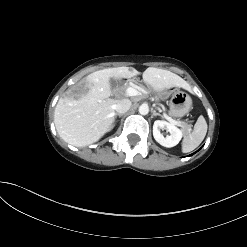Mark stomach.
<instances>
[{"label":"stomach","instance_id":"0dacf381","mask_svg":"<svg viewBox=\"0 0 247 247\" xmlns=\"http://www.w3.org/2000/svg\"><path fill=\"white\" fill-rule=\"evenodd\" d=\"M171 93L172 95L169 101L170 115L183 117L191 110L192 99L187 93L177 88L173 89Z\"/></svg>","mask_w":247,"mask_h":247}]
</instances>
